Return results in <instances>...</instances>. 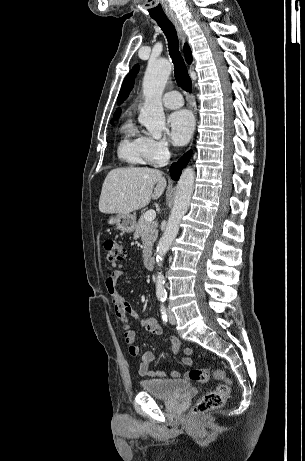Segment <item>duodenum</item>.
Masks as SVG:
<instances>
[{
  "instance_id": "410a0bca",
  "label": "duodenum",
  "mask_w": 305,
  "mask_h": 461,
  "mask_svg": "<svg viewBox=\"0 0 305 461\" xmlns=\"http://www.w3.org/2000/svg\"><path fill=\"white\" fill-rule=\"evenodd\" d=\"M144 265L148 270H152L155 267V258L151 253L145 256Z\"/></svg>"
}]
</instances>
